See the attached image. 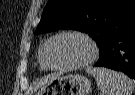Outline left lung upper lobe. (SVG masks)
<instances>
[{"mask_svg": "<svg viewBox=\"0 0 135 95\" xmlns=\"http://www.w3.org/2000/svg\"><path fill=\"white\" fill-rule=\"evenodd\" d=\"M133 18L135 0H49L35 34L79 30L100 48L110 34Z\"/></svg>", "mask_w": 135, "mask_h": 95, "instance_id": "obj_1", "label": "left lung upper lobe"}]
</instances>
